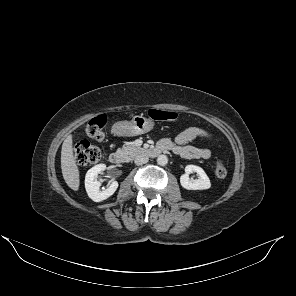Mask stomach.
<instances>
[{
	"instance_id": "0dacf381",
	"label": "stomach",
	"mask_w": 296,
	"mask_h": 296,
	"mask_svg": "<svg viewBox=\"0 0 296 296\" xmlns=\"http://www.w3.org/2000/svg\"><path fill=\"white\" fill-rule=\"evenodd\" d=\"M154 127L153 120L134 116L131 121H119L115 123L114 129L120 136H137L151 131Z\"/></svg>"
}]
</instances>
